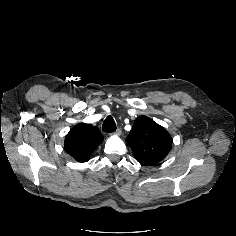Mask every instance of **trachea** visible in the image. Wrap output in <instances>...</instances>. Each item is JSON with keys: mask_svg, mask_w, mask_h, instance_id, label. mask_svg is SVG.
Masks as SVG:
<instances>
[{"mask_svg": "<svg viewBox=\"0 0 236 236\" xmlns=\"http://www.w3.org/2000/svg\"><path fill=\"white\" fill-rule=\"evenodd\" d=\"M102 130L106 133H111L116 131V124L111 116H108L102 125Z\"/></svg>", "mask_w": 236, "mask_h": 236, "instance_id": "trachea-1", "label": "trachea"}]
</instances>
